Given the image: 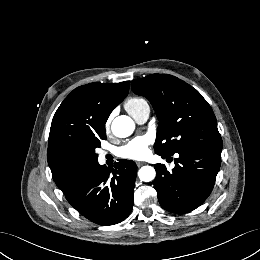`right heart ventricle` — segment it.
Returning <instances> with one entry per match:
<instances>
[{
  "label": "right heart ventricle",
  "instance_id": "e07e8e85",
  "mask_svg": "<svg viewBox=\"0 0 260 260\" xmlns=\"http://www.w3.org/2000/svg\"><path fill=\"white\" fill-rule=\"evenodd\" d=\"M145 104H147V102L143 98L132 97L126 101L125 108L127 111L132 112V111H136L137 109H139Z\"/></svg>",
  "mask_w": 260,
  "mask_h": 260
}]
</instances>
